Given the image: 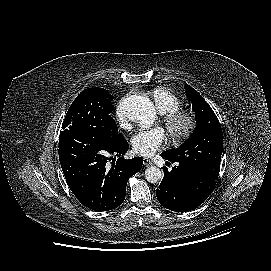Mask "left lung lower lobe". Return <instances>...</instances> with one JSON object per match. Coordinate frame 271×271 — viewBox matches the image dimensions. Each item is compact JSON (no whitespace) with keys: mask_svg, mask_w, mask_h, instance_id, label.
<instances>
[{"mask_svg":"<svg viewBox=\"0 0 271 271\" xmlns=\"http://www.w3.org/2000/svg\"><path fill=\"white\" fill-rule=\"evenodd\" d=\"M161 156L170 160L167 155ZM164 178L156 189L159 203L172 211L188 212L201 205L212 193L216 179L202 173L191 166L177 164L169 172L166 167Z\"/></svg>","mask_w":271,"mask_h":271,"instance_id":"0a47b994","label":"left lung lower lobe"}]
</instances>
